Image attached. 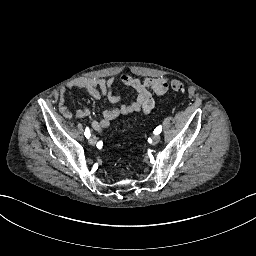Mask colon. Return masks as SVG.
<instances>
[{
    "label": "colon",
    "mask_w": 256,
    "mask_h": 256,
    "mask_svg": "<svg viewBox=\"0 0 256 256\" xmlns=\"http://www.w3.org/2000/svg\"><path fill=\"white\" fill-rule=\"evenodd\" d=\"M172 88H173V90H175V91H177V92H182V91H184V89H185L183 83L180 82V81H175V82H173ZM125 171H126V168H123V169H122V172L124 173Z\"/></svg>",
    "instance_id": "5ec220e1"
}]
</instances>
